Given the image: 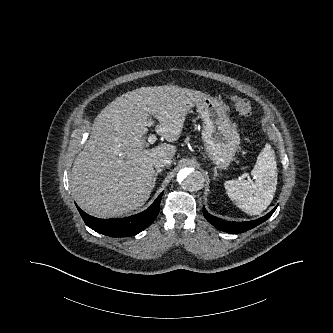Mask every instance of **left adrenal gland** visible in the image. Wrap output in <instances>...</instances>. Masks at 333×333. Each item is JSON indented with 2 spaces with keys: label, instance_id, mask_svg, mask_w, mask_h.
<instances>
[{
  "label": "left adrenal gland",
  "instance_id": "obj_1",
  "mask_svg": "<svg viewBox=\"0 0 333 333\" xmlns=\"http://www.w3.org/2000/svg\"><path fill=\"white\" fill-rule=\"evenodd\" d=\"M218 176H219V174H218V172H217V170H216V168H215V169H214V177H213V179H216Z\"/></svg>",
  "mask_w": 333,
  "mask_h": 333
}]
</instances>
